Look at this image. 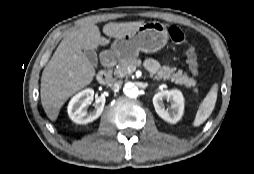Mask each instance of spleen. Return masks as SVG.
<instances>
[{
	"label": "spleen",
	"instance_id": "spleen-1",
	"mask_svg": "<svg viewBox=\"0 0 254 174\" xmlns=\"http://www.w3.org/2000/svg\"><path fill=\"white\" fill-rule=\"evenodd\" d=\"M217 90L218 85L214 84L211 90L208 92L202 103L200 104L193 125L195 127L200 126L203 124L211 115L212 111L214 110L215 103L217 100Z\"/></svg>",
	"mask_w": 254,
	"mask_h": 174
}]
</instances>
